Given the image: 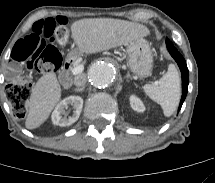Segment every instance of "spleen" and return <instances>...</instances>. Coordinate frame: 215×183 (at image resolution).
I'll return each mask as SVG.
<instances>
[{
    "mask_svg": "<svg viewBox=\"0 0 215 183\" xmlns=\"http://www.w3.org/2000/svg\"><path fill=\"white\" fill-rule=\"evenodd\" d=\"M145 93L160 104L165 116H171L180 100V76L175 65L170 64L167 72L154 84L144 85Z\"/></svg>",
    "mask_w": 215,
    "mask_h": 183,
    "instance_id": "obj_1",
    "label": "spleen"
}]
</instances>
